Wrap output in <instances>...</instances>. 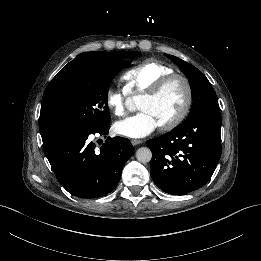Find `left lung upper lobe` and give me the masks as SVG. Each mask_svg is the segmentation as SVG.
<instances>
[{
    "instance_id": "1",
    "label": "left lung upper lobe",
    "mask_w": 261,
    "mask_h": 261,
    "mask_svg": "<svg viewBox=\"0 0 261 261\" xmlns=\"http://www.w3.org/2000/svg\"><path fill=\"white\" fill-rule=\"evenodd\" d=\"M167 57L177 64L187 76L191 87L193 104L185 122L204 113L220 114L216 93L205 75L196 67L180 58L173 55H167Z\"/></svg>"
}]
</instances>
